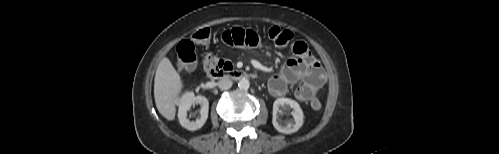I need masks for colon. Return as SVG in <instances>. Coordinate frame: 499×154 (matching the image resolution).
I'll return each mask as SVG.
<instances>
[{
	"label": "colon",
	"mask_w": 499,
	"mask_h": 154,
	"mask_svg": "<svg viewBox=\"0 0 499 154\" xmlns=\"http://www.w3.org/2000/svg\"><path fill=\"white\" fill-rule=\"evenodd\" d=\"M268 38L277 46L285 47L292 40V33L288 30L279 28L277 26H270L266 29ZM211 32L208 28L197 31L191 39L181 41L176 48L175 65L178 70L192 69L196 65V52L194 43L205 42L210 38ZM216 69H225L226 64L221 61L209 60L205 63ZM310 106L313 110H320L322 103L318 98H313L310 101Z\"/></svg>",
	"instance_id": "obj_1"
}]
</instances>
